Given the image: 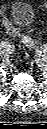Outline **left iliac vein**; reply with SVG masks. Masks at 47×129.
I'll return each instance as SVG.
<instances>
[{
    "instance_id": "1",
    "label": "left iliac vein",
    "mask_w": 47,
    "mask_h": 129,
    "mask_svg": "<svg viewBox=\"0 0 47 129\" xmlns=\"http://www.w3.org/2000/svg\"><path fill=\"white\" fill-rule=\"evenodd\" d=\"M36 54L39 58H41L42 60H45L46 59V51L42 50V49H39V48H36Z\"/></svg>"
}]
</instances>
